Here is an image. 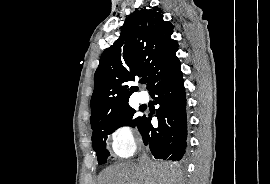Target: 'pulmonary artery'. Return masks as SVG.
Instances as JSON below:
<instances>
[{
    "label": "pulmonary artery",
    "instance_id": "obj_1",
    "mask_svg": "<svg viewBox=\"0 0 270 184\" xmlns=\"http://www.w3.org/2000/svg\"><path fill=\"white\" fill-rule=\"evenodd\" d=\"M138 101L140 103H146L148 101V95L146 93H144V92H140L138 94Z\"/></svg>",
    "mask_w": 270,
    "mask_h": 184
}]
</instances>
